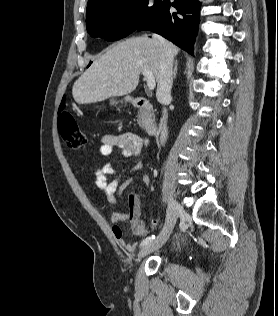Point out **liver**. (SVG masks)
<instances>
[{
    "label": "liver",
    "mask_w": 278,
    "mask_h": 316,
    "mask_svg": "<svg viewBox=\"0 0 278 316\" xmlns=\"http://www.w3.org/2000/svg\"><path fill=\"white\" fill-rule=\"evenodd\" d=\"M173 55L179 49L167 42ZM163 45L156 38L138 36L111 47L75 81L72 94L78 104L104 101L135 90L143 70L160 78Z\"/></svg>",
    "instance_id": "obj_1"
}]
</instances>
